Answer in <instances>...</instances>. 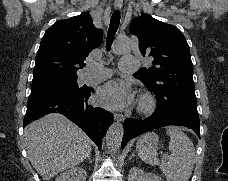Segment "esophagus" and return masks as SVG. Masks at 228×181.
<instances>
[{
  "mask_svg": "<svg viewBox=\"0 0 228 181\" xmlns=\"http://www.w3.org/2000/svg\"><path fill=\"white\" fill-rule=\"evenodd\" d=\"M122 3H123V0H115L114 5H115L116 8H120L122 6ZM114 119L116 121H124L125 118H124L123 114L115 113L114 114Z\"/></svg>",
  "mask_w": 228,
  "mask_h": 181,
  "instance_id": "34e87169",
  "label": "esophagus"
}]
</instances>
